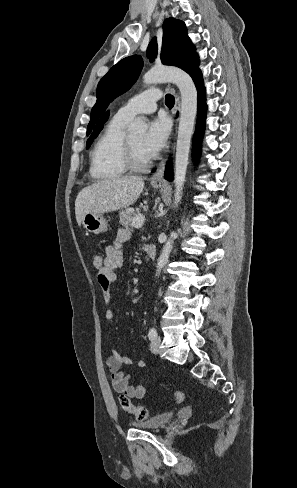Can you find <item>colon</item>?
<instances>
[{"label": "colon", "mask_w": 297, "mask_h": 488, "mask_svg": "<svg viewBox=\"0 0 297 488\" xmlns=\"http://www.w3.org/2000/svg\"><path fill=\"white\" fill-rule=\"evenodd\" d=\"M93 265L97 270H99L103 266V257L101 255H94ZM174 398L177 403H181L184 399L183 392L177 391ZM119 403L125 412L133 414L137 420L143 421L148 419L150 416V412L146 407L133 404L130 398L124 394H120Z\"/></svg>", "instance_id": "5ec220e1"}]
</instances>
